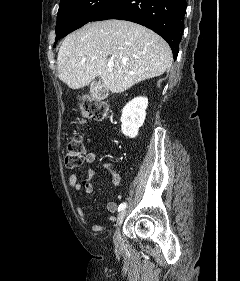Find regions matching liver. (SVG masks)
<instances>
[{
  "instance_id": "liver-1",
  "label": "liver",
  "mask_w": 240,
  "mask_h": 281,
  "mask_svg": "<svg viewBox=\"0 0 240 281\" xmlns=\"http://www.w3.org/2000/svg\"><path fill=\"white\" fill-rule=\"evenodd\" d=\"M168 43L150 29L124 20L88 23L63 40L57 67L71 89L100 77L103 87L122 93L133 85L162 75L172 65ZM112 62V70L108 63Z\"/></svg>"
}]
</instances>
